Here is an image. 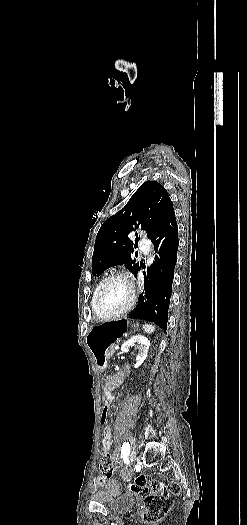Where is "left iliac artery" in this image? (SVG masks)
I'll list each match as a JSON object with an SVG mask.
<instances>
[{"label": "left iliac artery", "mask_w": 247, "mask_h": 525, "mask_svg": "<svg viewBox=\"0 0 247 525\" xmlns=\"http://www.w3.org/2000/svg\"><path fill=\"white\" fill-rule=\"evenodd\" d=\"M130 452V444L128 442H124L121 448V455L123 457H127Z\"/></svg>", "instance_id": "obj_1"}]
</instances>
